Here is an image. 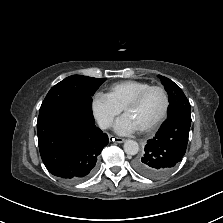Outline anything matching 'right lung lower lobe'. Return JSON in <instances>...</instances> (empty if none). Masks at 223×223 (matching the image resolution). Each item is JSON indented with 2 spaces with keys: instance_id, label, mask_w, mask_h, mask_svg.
<instances>
[{
  "instance_id": "right-lung-lower-lobe-1",
  "label": "right lung lower lobe",
  "mask_w": 223,
  "mask_h": 223,
  "mask_svg": "<svg viewBox=\"0 0 223 223\" xmlns=\"http://www.w3.org/2000/svg\"><path fill=\"white\" fill-rule=\"evenodd\" d=\"M38 144L48 171L68 183H79L95 171L108 136L94 124L92 109L68 100L39 111Z\"/></svg>"
}]
</instances>
